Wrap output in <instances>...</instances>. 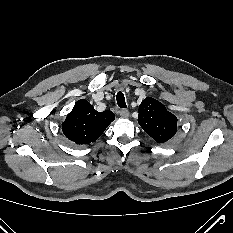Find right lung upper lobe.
<instances>
[{
    "mask_svg": "<svg viewBox=\"0 0 233 233\" xmlns=\"http://www.w3.org/2000/svg\"><path fill=\"white\" fill-rule=\"evenodd\" d=\"M114 119L112 111L97 112L93 105L81 99L62 123V131L76 144H89L96 141Z\"/></svg>",
    "mask_w": 233,
    "mask_h": 233,
    "instance_id": "1",
    "label": "right lung upper lobe"
}]
</instances>
